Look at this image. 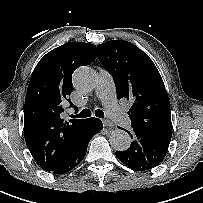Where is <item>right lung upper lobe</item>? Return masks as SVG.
I'll list each match as a JSON object with an SVG mask.
<instances>
[{
  "label": "right lung upper lobe",
  "instance_id": "cb5924a9",
  "mask_svg": "<svg viewBox=\"0 0 203 203\" xmlns=\"http://www.w3.org/2000/svg\"><path fill=\"white\" fill-rule=\"evenodd\" d=\"M97 57L96 46L69 42L48 52L36 65L24 105V136L37 163L56 169L87 119L64 121L62 113L73 89L72 74ZM74 108H77L73 105Z\"/></svg>",
  "mask_w": 203,
  "mask_h": 203
}]
</instances>
